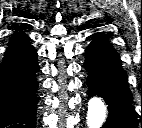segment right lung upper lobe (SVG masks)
Instances as JSON below:
<instances>
[{
	"label": "right lung upper lobe",
	"instance_id": "right-lung-upper-lobe-1",
	"mask_svg": "<svg viewBox=\"0 0 142 128\" xmlns=\"http://www.w3.org/2000/svg\"><path fill=\"white\" fill-rule=\"evenodd\" d=\"M29 43V38L22 33L14 35L9 43L5 57L25 48Z\"/></svg>",
	"mask_w": 142,
	"mask_h": 128
}]
</instances>
